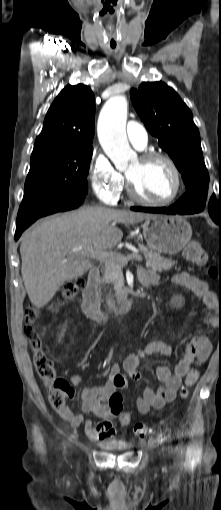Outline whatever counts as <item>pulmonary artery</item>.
I'll return each instance as SVG.
<instances>
[{
	"label": "pulmonary artery",
	"mask_w": 221,
	"mask_h": 510,
	"mask_svg": "<svg viewBox=\"0 0 221 510\" xmlns=\"http://www.w3.org/2000/svg\"><path fill=\"white\" fill-rule=\"evenodd\" d=\"M126 134L130 143L137 149L142 150L147 145V131L139 122L130 120L127 123Z\"/></svg>",
	"instance_id": "e3ab8cb5"
}]
</instances>
